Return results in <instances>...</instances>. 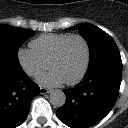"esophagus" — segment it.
<instances>
[{
	"mask_svg": "<svg viewBox=\"0 0 128 128\" xmlns=\"http://www.w3.org/2000/svg\"><path fill=\"white\" fill-rule=\"evenodd\" d=\"M49 92H50L49 89H47V88H45V87H40V93H41V94H47V93H49Z\"/></svg>",
	"mask_w": 128,
	"mask_h": 128,
	"instance_id": "34e87169",
	"label": "esophagus"
}]
</instances>
